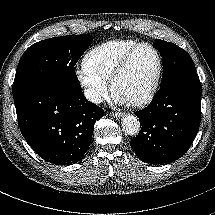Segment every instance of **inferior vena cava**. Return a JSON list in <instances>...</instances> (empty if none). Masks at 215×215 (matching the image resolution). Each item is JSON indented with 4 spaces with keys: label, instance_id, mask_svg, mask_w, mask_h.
I'll return each instance as SVG.
<instances>
[{
    "label": "inferior vena cava",
    "instance_id": "1",
    "mask_svg": "<svg viewBox=\"0 0 215 215\" xmlns=\"http://www.w3.org/2000/svg\"><path fill=\"white\" fill-rule=\"evenodd\" d=\"M85 98L93 103L99 104L103 101V98L99 92L93 87H88L84 90Z\"/></svg>",
    "mask_w": 215,
    "mask_h": 215
}]
</instances>
